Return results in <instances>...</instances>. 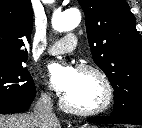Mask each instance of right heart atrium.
Masks as SVG:
<instances>
[{
    "label": "right heart atrium",
    "mask_w": 142,
    "mask_h": 128,
    "mask_svg": "<svg viewBox=\"0 0 142 128\" xmlns=\"http://www.w3.org/2000/svg\"><path fill=\"white\" fill-rule=\"evenodd\" d=\"M43 97L44 98H49L50 97V93H49V91H45V92H43Z\"/></svg>",
    "instance_id": "obj_1"
}]
</instances>
